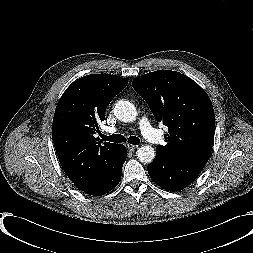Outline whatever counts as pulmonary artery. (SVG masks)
I'll list each match as a JSON object with an SVG mask.
<instances>
[{
    "mask_svg": "<svg viewBox=\"0 0 253 253\" xmlns=\"http://www.w3.org/2000/svg\"><path fill=\"white\" fill-rule=\"evenodd\" d=\"M139 127L141 130L142 135L144 136L147 141L156 145H162L165 143L164 136L156 131L149 123L146 117H142L139 120ZM118 131L116 127L110 126L105 129V133L107 134H114Z\"/></svg>",
    "mask_w": 253,
    "mask_h": 253,
    "instance_id": "1",
    "label": "pulmonary artery"
}]
</instances>
